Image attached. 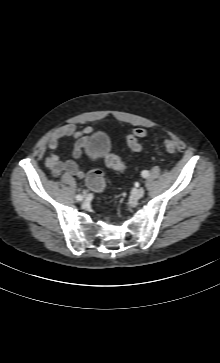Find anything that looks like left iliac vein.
I'll list each match as a JSON object with an SVG mask.
<instances>
[{
  "instance_id": "obj_1",
  "label": "left iliac vein",
  "mask_w": 220,
  "mask_h": 363,
  "mask_svg": "<svg viewBox=\"0 0 220 363\" xmlns=\"http://www.w3.org/2000/svg\"><path fill=\"white\" fill-rule=\"evenodd\" d=\"M144 193H145V190H144V188H138L137 190H136V192H135V194H134V199L135 200H138V199H140V198H142L143 197V195H144Z\"/></svg>"
}]
</instances>
